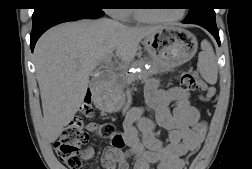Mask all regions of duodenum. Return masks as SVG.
<instances>
[{
  "label": "duodenum",
  "mask_w": 252,
  "mask_h": 169,
  "mask_svg": "<svg viewBox=\"0 0 252 169\" xmlns=\"http://www.w3.org/2000/svg\"><path fill=\"white\" fill-rule=\"evenodd\" d=\"M100 78H101V79H108V78H110V75H109L108 73H105V74H102V75L100 76Z\"/></svg>",
  "instance_id": "1"
}]
</instances>
